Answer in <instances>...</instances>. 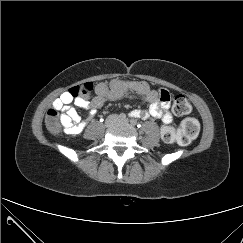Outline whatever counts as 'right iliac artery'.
<instances>
[{
  "label": "right iliac artery",
  "instance_id": "82829eb1",
  "mask_svg": "<svg viewBox=\"0 0 243 243\" xmlns=\"http://www.w3.org/2000/svg\"><path fill=\"white\" fill-rule=\"evenodd\" d=\"M119 118H120V119H125V118H126V115H125L124 113H120V114H119Z\"/></svg>",
  "mask_w": 243,
  "mask_h": 243
}]
</instances>
